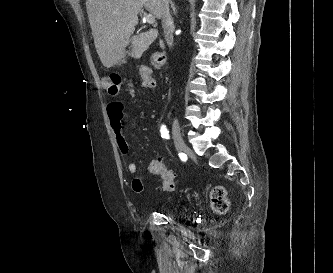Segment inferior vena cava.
<instances>
[{"label": "inferior vena cava", "instance_id": "602c4592", "mask_svg": "<svg viewBox=\"0 0 333 273\" xmlns=\"http://www.w3.org/2000/svg\"><path fill=\"white\" fill-rule=\"evenodd\" d=\"M159 6L162 18V28L166 42L169 47L173 46V29L174 24L169 11V0H159Z\"/></svg>", "mask_w": 333, "mask_h": 273}]
</instances>
